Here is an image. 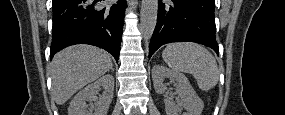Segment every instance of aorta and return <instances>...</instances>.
I'll use <instances>...</instances> for the list:
<instances>
[{
    "label": "aorta",
    "mask_w": 285,
    "mask_h": 115,
    "mask_svg": "<svg viewBox=\"0 0 285 115\" xmlns=\"http://www.w3.org/2000/svg\"><path fill=\"white\" fill-rule=\"evenodd\" d=\"M158 14V0H142L140 11V30L145 41L150 40Z\"/></svg>",
    "instance_id": "aorta-1"
}]
</instances>
